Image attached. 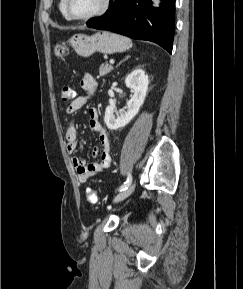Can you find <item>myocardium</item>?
<instances>
[{
	"label": "myocardium",
	"mask_w": 243,
	"mask_h": 289,
	"mask_svg": "<svg viewBox=\"0 0 243 289\" xmlns=\"http://www.w3.org/2000/svg\"><path fill=\"white\" fill-rule=\"evenodd\" d=\"M110 6H111V0H103V4L98 11L87 16H75L70 11V0H65V11H66L67 16L70 19L76 20V21H87V20L100 17L109 10Z\"/></svg>",
	"instance_id": "myocardium-1"
}]
</instances>
